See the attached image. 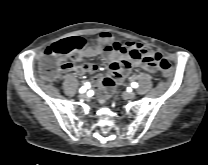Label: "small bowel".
Here are the masks:
<instances>
[{"instance_id":"1","label":"small bowel","mask_w":208,"mask_h":165,"mask_svg":"<svg viewBox=\"0 0 208 165\" xmlns=\"http://www.w3.org/2000/svg\"><path fill=\"white\" fill-rule=\"evenodd\" d=\"M151 53L148 46L134 42H120L107 31L101 32L95 42H91L85 50L75 55L71 62L60 61V72H73L78 75L96 73L98 66L93 62H82L85 58L102 54L108 63V72L97 76L93 85L101 91V101L109 97L115 85L120 84L128 76L133 68H142L147 72L154 73L157 68L154 63L146 62L143 53Z\"/></svg>"}]
</instances>
